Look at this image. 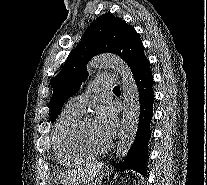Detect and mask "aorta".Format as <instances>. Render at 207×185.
Listing matches in <instances>:
<instances>
[{
	"instance_id": "obj_1",
	"label": "aorta",
	"mask_w": 207,
	"mask_h": 185,
	"mask_svg": "<svg viewBox=\"0 0 207 185\" xmlns=\"http://www.w3.org/2000/svg\"><path fill=\"white\" fill-rule=\"evenodd\" d=\"M88 67L91 69H114L122 78L123 113L116 149V159L122 160L130 150L138 129L140 97L137 84L129 66L116 55L96 56L89 62Z\"/></svg>"
}]
</instances>
